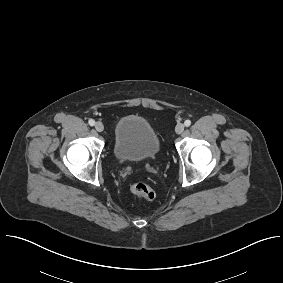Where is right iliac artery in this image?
Wrapping results in <instances>:
<instances>
[{"instance_id": "82829eb1", "label": "right iliac artery", "mask_w": 283, "mask_h": 283, "mask_svg": "<svg viewBox=\"0 0 283 283\" xmlns=\"http://www.w3.org/2000/svg\"><path fill=\"white\" fill-rule=\"evenodd\" d=\"M88 123H89L90 126H94L95 125V121L93 119H90L88 121Z\"/></svg>"}]
</instances>
